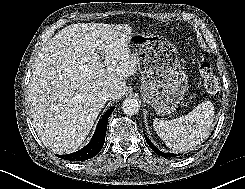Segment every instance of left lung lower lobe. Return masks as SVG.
Masks as SVG:
<instances>
[{
    "instance_id": "0a47b994",
    "label": "left lung lower lobe",
    "mask_w": 245,
    "mask_h": 189,
    "mask_svg": "<svg viewBox=\"0 0 245 189\" xmlns=\"http://www.w3.org/2000/svg\"><path fill=\"white\" fill-rule=\"evenodd\" d=\"M144 136H145V139H146L148 145L150 146V148H151L156 154H158L159 156H162V157H175V156H177L176 154H172V153H163V152H161L159 149H157V148L153 145V143L149 140V138H148L145 134H144ZM178 155H180V154H178Z\"/></svg>"
}]
</instances>
